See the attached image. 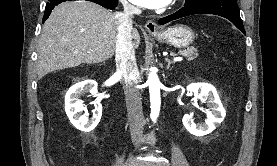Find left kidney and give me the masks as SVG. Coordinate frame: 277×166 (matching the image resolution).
I'll use <instances>...</instances> for the list:
<instances>
[{
  "label": "left kidney",
  "mask_w": 277,
  "mask_h": 166,
  "mask_svg": "<svg viewBox=\"0 0 277 166\" xmlns=\"http://www.w3.org/2000/svg\"><path fill=\"white\" fill-rule=\"evenodd\" d=\"M187 91L193 92L196 98L206 102L209 109L205 110L207 118L203 124H195L190 115H184L182 119L184 127L197 137L211 133L226 116L216 89L208 83H192L187 86Z\"/></svg>",
  "instance_id": "left-kidney-1"
}]
</instances>
